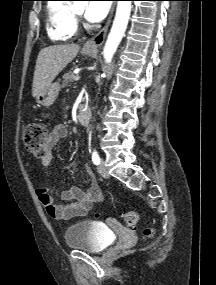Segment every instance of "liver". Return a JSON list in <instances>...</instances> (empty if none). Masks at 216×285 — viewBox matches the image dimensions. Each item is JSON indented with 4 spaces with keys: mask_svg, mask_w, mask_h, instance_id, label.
Wrapping results in <instances>:
<instances>
[{
    "mask_svg": "<svg viewBox=\"0 0 216 285\" xmlns=\"http://www.w3.org/2000/svg\"><path fill=\"white\" fill-rule=\"evenodd\" d=\"M77 44L53 45L42 49L37 57L32 95L36 97L46 89L57 75L76 57Z\"/></svg>",
    "mask_w": 216,
    "mask_h": 285,
    "instance_id": "obj_1",
    "label": "liver"
}]
</instances>
